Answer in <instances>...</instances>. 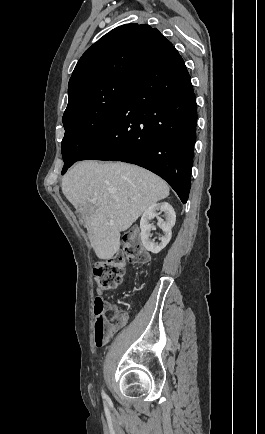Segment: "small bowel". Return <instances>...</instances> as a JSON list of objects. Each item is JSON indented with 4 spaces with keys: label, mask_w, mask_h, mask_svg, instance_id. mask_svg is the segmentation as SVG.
Here are the masks:
<instances>
[{
    "label": "small bowel",
    "mask_w": 265,
    "mask_h": 434,
    "mask_svg": "<svg viewBox=\"0 0 265 434\" xmlns=\"http://www.w3.org/2000/svg\"><path fill=\"white\" fill-rule=\"evenodd\" d=\"M110 307L113 308V306ZM119 315H120V323L119 325L112 327L113 331H116L117 329L125 325V323L127 322V316L124 313H119Z\"/></svg>",
    "instance_id": "obj_1"
}]
</instances>
